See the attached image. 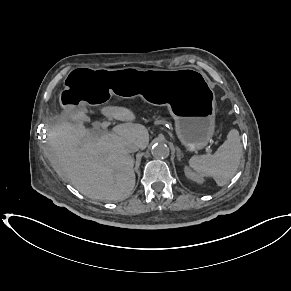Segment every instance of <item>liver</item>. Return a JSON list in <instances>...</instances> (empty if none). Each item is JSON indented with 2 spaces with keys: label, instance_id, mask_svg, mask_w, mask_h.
Wrapping results in <instances>:
<instances>
[{
  "label": "liver",
  "instance_id": "6515ba94",
  "mask_svg": "<svg viewBox=\"0 0 291 291\" xmlns=\"http://www.w3.org/2000/svg\"><path fill=\"white\" fill-rule=\"evenodd\" d=\"M106 117L125 121L109 133L96 135L84 125L90 117L83 110H65L49 128L53 163L83 195L98 200L127 198L135 186L134 159L126 146L136 143L145 149L149 133L128 108L106 106Z\"/></svg>",
  "mask_w": 291,
  "mask_h": 291
}]
</instances>
